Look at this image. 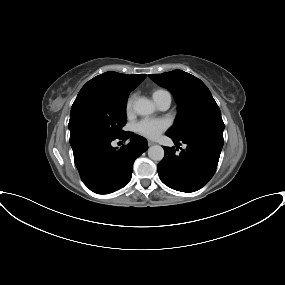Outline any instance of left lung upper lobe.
<instances>
[{"label": "left lung upper lobe", "mask_w": 285, "mask_h": 285, "mask_svg": "<svg viewBox=\"0 0 285 285\" xmlns=\"http://www.w3.org/2000/svg\"><path fill=\"white\" fill-rule=\"evenodd\" d=\"M149 77L168 88L178 103V115L167 135L180 140L204 133L223 137L224 123L220 109L200 79L181 70L151 74Z\"/></svg>", "instance_id": "5c2ea615"}]
</instances>
